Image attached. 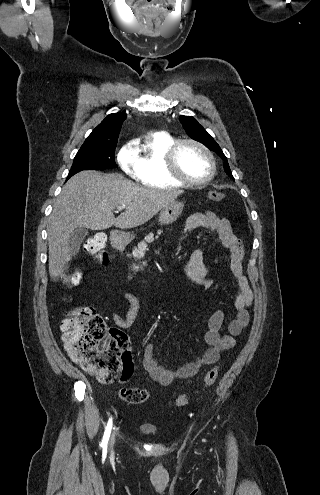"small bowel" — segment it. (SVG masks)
Segmentation results:
<instances>
[{
  "label": "small bowel",
  "mask_w": 320,
  "mask_h": 495,
  "mask_svg": "<svg viewBox=\"0 0 320 495\" xmlns=\"http://www.w3.org/2000/svg\"><path fill=\"white\" fill-rule=\"evenodd\" d=\"M198 228L207 231V238L217 237L223 247L229 251V269L233 278L236 291L234 307L235 317L226 325L225 332H221L225 320L222 310L215 311L209 318L208 328L204 336L208 349L195 361L186 363L176 370H169L159 365L154 354L152 343L146 345L143 356V367L150 378L162 386H168L175 380L188 379L198 373L206 365H211L219 360L220 354L232 349L236 344V336L240 335L248 324V308L253 300V293L243 270L244 249L242 242L234 234L230 222L217 216L211 211L195 213L189 216L185 222L183 232L188 233ZM183 272L193 282L209 288L211 280L208 278V268L204 264L203 252L200 248L194 250L183 264ZM129 308L126 318H122L117 312H112L114 323L120 328H127L139 310V299L132 293L124 295ZM132 373L130 368L124 367L122 371L123 382Z\"/></svg>",
  "instance_id": "c3829d8e"
}]
</instances>
